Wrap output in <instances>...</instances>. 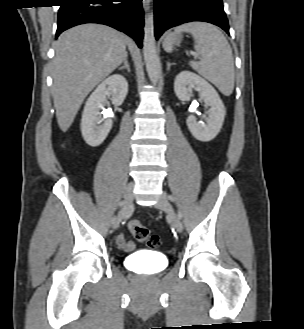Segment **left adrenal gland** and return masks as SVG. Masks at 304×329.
<instances>
[{"label":"left adrenal gland","mask_w":304,"mask_h":329,"mask_svg":"<svg viewBox=\"0 0 304 329\" xmlns=\"http://www.w3.org/2000/svg\"><path fill=\"white\" fill-rule=\"evenodd\" d=\"M171 65H175L174 63L167 62V71L170 70Z\"/></svg>","instance_id":"left-adrenal-gland-1"}]
</instances>
